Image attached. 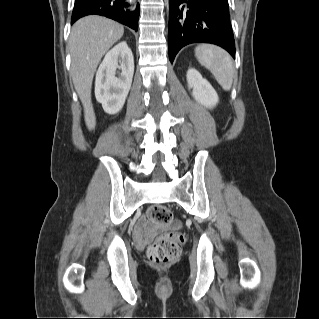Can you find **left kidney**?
I'll list each match as a JSON object with an SVG mask.
<instances>
[{
	"mask_svg": "<svg viewBox=\"0 0 319 319\" xmlns=\"http://www.w3.org/2000/svg\"><path fill=\"white\" fill-rule=\"evenodd\" d=\"M188 87L192 89L194 99L206 108H213L219 101L211 84L194 68L187 71Z\"/></svg>",
	"mask_w": 319,
	"mask_h": 319,
	"instance_id": "left-kidney-1",
	"label": "left kidney"
}]
</instances>
